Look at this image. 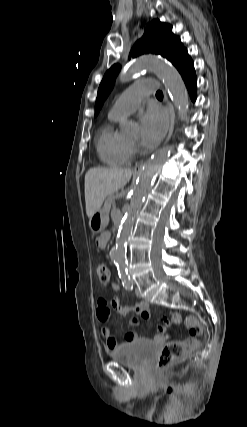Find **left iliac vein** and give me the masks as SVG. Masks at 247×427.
Masks as SVG:
<instances>
[{"instance_id":"obj_1","label":"left iliac vein","mask_w":247,"mask_h":427,"mask_svg":"<svg viewBox=\"0 0 247 427\" xmlns=\"http://www.w3.org/2000/svg\"><path fill=\"white\" fill-rule=\"evenodd\" d=\"M135 294L137 297H141V292L137 287L135 288Z\"/></svg>"}]
</instances>
